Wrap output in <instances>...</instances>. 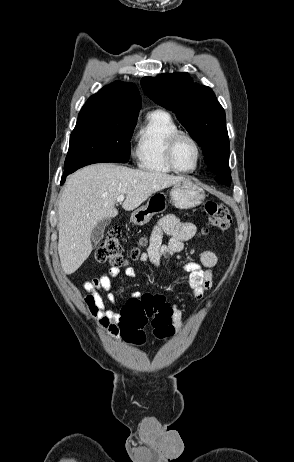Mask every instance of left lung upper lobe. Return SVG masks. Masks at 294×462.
<instances>
[{
	"instance_id": "obj_1",
	"label": "left lung upper lobe",
	"mask_w": 294,
	"mask_h": 462,
	"mask_svg": "<svg viewBox=\"0 0 294 462\" xmlns=\"http://www.w3.org/2000/svg\"><path fill=\"white\" fill-rule=\"evenodd\" d=\"M141 85L150 99L176 114L201 146L208 169L217 176H229L226 117L213 91L193 83L187 73L144 77Z\"/></svg>"
}]
</instances>
